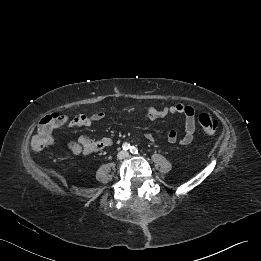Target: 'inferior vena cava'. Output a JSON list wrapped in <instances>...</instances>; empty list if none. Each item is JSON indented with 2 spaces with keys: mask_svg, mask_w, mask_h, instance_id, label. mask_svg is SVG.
<instances>
[{
  "mask_svg": "<svg viewBox=\"0 0 261 261\" xmlns=\"http://www.w3.org/2000/svg\"><path fill=\"white\" fill-rule=\"evenodd\" d=\"M126 156H127V154H126L125 152H123V151L119 152L118 155H117V157H118L119 159H123V158H125Z\"/></svg>",
  "mask_w": 261,
  "mask_h": 261,
  "instance_id": "602c4592",
  "label": "inferior vena cava"
}]
</instances>
